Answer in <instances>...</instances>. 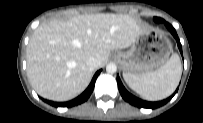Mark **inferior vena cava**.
I'll list each match as a JSON object with an SVG mask.
<instances>
[{"label": "inferior vena cava", "instance_id": "inferior-vena-cava-1", "mask_svg": "<svg viewBox=\"0 0 203 123\" xmlns=\"http://www.w3.org/2000/svg\"><path fill=\"white\" fill-rule=\"evenodd\" d=\"M86 65L91 68V69H96L98 68L99 66V60L98 58L92 56V57H89L87 60H86Z\"/></svg>", "mask_w": 203, "mask_h": 123}]
</instances>
